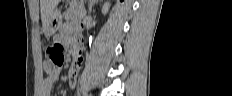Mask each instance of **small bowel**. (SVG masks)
Returning <instances> with one entry per match:
<instances>
[{"label":"small bowel","instance_id":"c3829d8e","mask_svg":"<svg viewBox=\"0 0 232 96\" xmlns=\"http://www.w3.org/2000/svg\"><path fill=\"white\" fill-rule=\"evenodd\" d=\"M82 25H76L74 22H67L60 28L59 34L54 37V44L61 45H73L76 46L79 43H85V38H80L83 35ZM48 54V50H47ZM78 60L81 62L80 56ZM49 62L44 63V68L48 71ZM49 72V71H48ZM58 80L57 74H50L44 78L40 85V95L50 96L53 84ZM77 80V69L74 68L69 73V84L74 87ZM56 96H61L59 93Z\"/></svg>","mask_w":232,"mask_h":96}]
</instances>
